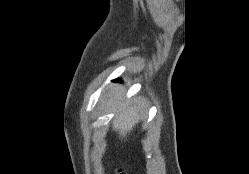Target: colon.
Masks as SVG:
<instances>
[{
    "instance_id": "colon-1",
    "label": "colon",
    "mask_w": 249,
    "mask_h": 174,
    "mask_svg": "<svg viewBox=\"0 0 249 174\" xmlns=\"http://www.w3.org/2000/svg\"><path fill=\"white\" fill-rule=\"evenodd\" d=\"M117 174H126V173L122 170H119V172Z\"/></svg>"
}]
</instances>
